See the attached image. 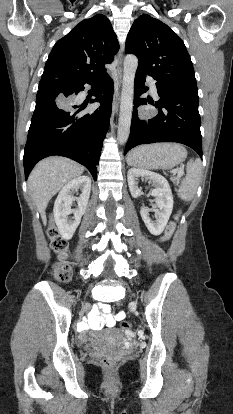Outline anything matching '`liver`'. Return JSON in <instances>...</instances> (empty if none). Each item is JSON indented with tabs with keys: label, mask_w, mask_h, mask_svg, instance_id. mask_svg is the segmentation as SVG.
Listing matches in <instances>:
<instances>
[{
	"label": "liver",
	"mask_w": 233,
	"mask_h": 414,
	"mask_svg": "<svg viewBox=\"0 0 233 414\" xmlns=\"http://www.w3.org/2000/svg\"><path fill=\"white\" fill-rule=\"evenodd\" d=\"M83 171L82 165L65 157H49L34 167L28 178V188L44 222L45 210L50 199Z\"/></svg>",
	"instance_id": "liver-1"
}]
</instances>
